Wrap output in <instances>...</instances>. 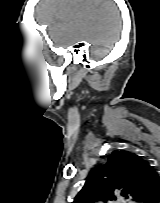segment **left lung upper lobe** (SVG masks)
Returning <instances> with one entry per match:
<instances>
[{
	"label": "left lung upper lobe",
	"mask_w": 160,
	"mask_h": 203,
	"mask_svg": "<svg viewBox=\"0 0 160 203\" xmlns=\"http://www.w3.org/2000/svg\"><path fill=\"white\" fill-rule=\"evenodd\" d=\"M160 182L159 174L135 153L113 151L108 162L97 166L72 203L115 200V194L136 203H150Z\"/></svg>",
	"instance_id": "1"
}]
</instances>
